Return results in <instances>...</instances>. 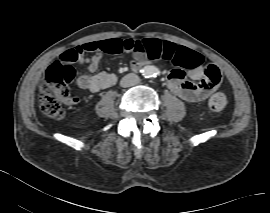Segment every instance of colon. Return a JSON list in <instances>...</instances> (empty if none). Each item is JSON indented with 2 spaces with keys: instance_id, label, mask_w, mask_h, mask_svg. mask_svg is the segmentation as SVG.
<instances>
[{
  "instance_id": "colon-1",
  "label": "colon",
  "mask_w": 270,
  "mask_h": 213,
  "mask_svg": "<svg viewBox=\"0 0 270 213\" xmlns=\"http://www.w3.org/2000/svg\"><path fill=\"white\" fill-rule=\"evenodd\" d=\"M153 43H145L141 39H114L107 44V52L122 53L131 51L147 56L154 49ZM82 51L78 46L72 47L60 55V60L50 64L45 72L39 95L38 105L41 112L52 119L61 120L65 116L64 105L76 100L70 90V84L75 76L73 64L80 58ZM200 63V57L195 56L194 64ZM206 74L219 77V69L208 64L205 67ZM228 99L224 92L219 91L211 96L208 108L211 112H221L227 106Z\"/></svg>"
}]
</instances>
